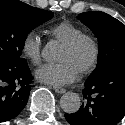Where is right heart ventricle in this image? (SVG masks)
Masks as SVG:
<instances>
[{
    "label": "right heart ventricle",
    "instance_id": "e07e8e85",
    "mask_svg": "<svg viewBox=\"0 0 125 125\" xmlns=\"http://www.w3.org/2000/svg\"><path fill=\"white\" fill-rule=\"evenodd\" d=\"M51 35L61 44L83 33L82 29L70 22H61L50 29Z\"/></svg>",
    "mask_w": 125,
    "mask_h": 125
}]
</instances>
